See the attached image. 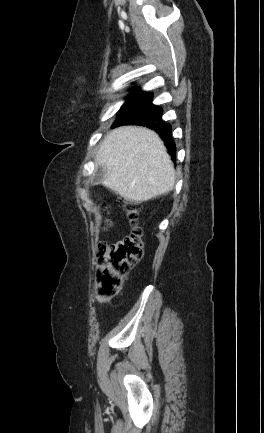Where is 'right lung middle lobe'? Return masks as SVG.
Instances as JSON below:
<instances>
[{"instance_id":"1","label":"right lung middle lobe","mask_w":264,"mask_h":433,"mask_svg":"<svg viewBox=\"0 0 264 433\" xmlns=\"http://www.w3.org/2000/svg\"><path fill=\"white\" fill-rule=\"evenodd\" d=\"M139 93L140 90L135 91L134 93L126 97V102L118 112L117 120L129 117L138 110Z\"/></svg>"}]
</instances>
